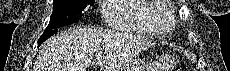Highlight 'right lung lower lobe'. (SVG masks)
Returning <instances> with one entry per match:
<instances>
[{
	"label": "right lung lower lobe",
	"instance_id": "right-lung-lower-lobe-1",
	"mask_svg": "<svg viewBox=\"0 0 230 71\" xmlns=\"http://www.w3.org/2000/svg\"><path fill=\"white\" fill-rule=\"evenodd\" d=\"M58 31V29H52V30H45V32L41 35L39 41H38V45H40L41 43H43L46 39H48L49 37H51L53 34H55Z\"/></svg>",
	"mask_w": 230,
	"mask_h": 71
}]
</instances>
